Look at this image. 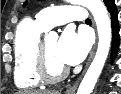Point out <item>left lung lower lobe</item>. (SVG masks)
I'll use <instances>...</instances> for the list:
<instances>
[{
	"label": "left lung lower lobe",
	"instance_id": "left-lung-lower-lobe-1",
	"mask_svg": "<svg viewBox=\"0 0 121 94\" xmlns=\"http://www.w3.org/2000/svg\"><path fill=\"white\" fill-rule=\"evenodd\" d=\"M108 11L111 15V25H112V58L115 57L117 53V49L119 46V24L117 20L118 12L116 9L115 3L110 4L107 6Z\"/></svg>",
	"mask_w": 121,
	"mask_h": 94
}]
</instances>
